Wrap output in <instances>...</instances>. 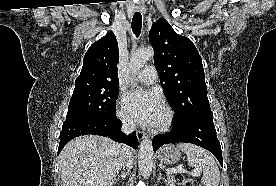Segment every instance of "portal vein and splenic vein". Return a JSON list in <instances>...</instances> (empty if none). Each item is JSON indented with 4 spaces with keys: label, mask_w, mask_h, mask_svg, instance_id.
<instances>
[{
    "label": "portal vein and splenic vein",
    "mask_w": 276,
    "mask_h": 186,
    "mask_svg": "<svg viewBox=\"0 0 276 186\" xmlns=\"http://www.w3.org/2000/svg\"><path fill=\"white\" fill-rule=\"evenodd\" d=\"M185 173V172H187L185 169H183V168H177V169H168V170H166V174L167 175H170V174H172V173ZM192 176H198L199 175V173H200V171L198 170V169H196V170H194V171H192V172H189Z\"/></svg>",
    "instance_id": "1"
}]
</instances>
